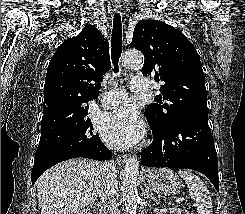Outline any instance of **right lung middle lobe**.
Returning <instances> with one entry per match:
<instances>
[{"label":"right lung middle lobe","mask_w":245,"mask_h":214,"mask_svg":"<svg viewBox=\"0 0 245 214\" xmlns=\"http://www.w3.org/2000/svg\"><path fill=\"white\" fill-rule=\"evenodd\" d=\"M95 140V132L87 113L57 127L41 130L40 138L42 143L62 142L79 150H84Z\"/></svg>","instance_id":"obj_1"}]
</instances>
